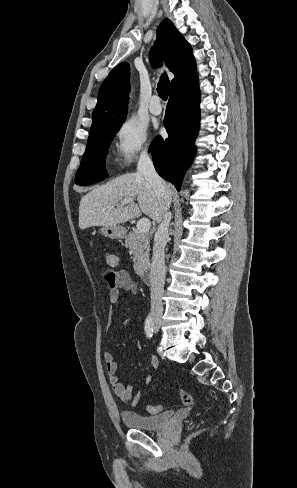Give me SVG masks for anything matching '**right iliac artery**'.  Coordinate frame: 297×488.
I'll list each match as a JSON object with an SVG mask.
<instances>
[{
	"label": "right iliac artery",
	"mask_w": 297,
	"mask_h": 488,
	"mask_svg": "<svg viewBox=\"0 0 297 488\" xmlns=\"http://www.w3.org/2000/svg\"><path fill=\"white\" fill-rule=\"evenodd\" d=\"M153 320L150 315L145 320V333L148 338H151L153 336Z\"/></svg>",
	"instance_id": "obj_1"
}]
</instances>
